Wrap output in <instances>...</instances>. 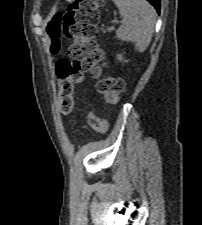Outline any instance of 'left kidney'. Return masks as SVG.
I'll return each mask as SVG.
<instances>
[{"instance_id": "1", "label": "left kidney", "mask_w": 202, "mask_h": 225, "mask_svg": "<svg viewBox=\"0 0 202 225\" xmlns=\"http://www.w3.org/2000/svg\"><path fill=\"white\" fill-rule=\"evenodd\" d=\"M117 60L123 61L124 58H123V56H122L121 54H118V55H117ZM125 62H126V60H125Z\"/></svg>"}]
</instances>
